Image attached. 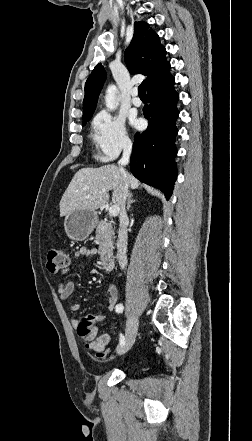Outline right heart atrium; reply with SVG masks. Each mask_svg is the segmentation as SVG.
<instances>
[{"label":"right heart atrium","mask_w":252,"mask_h":441,"mask_svg":"<svg viewBox=\"0 0 252 441\" xmlns=\"http://www.w3.org/2000/svg\"><path fill=\"white\" fill-rule=\"evenodd\" d=\"M92 128L98 160L109 162L121 154L130 152L132 142L123 117L101 111L93 119Z\"/></svg>","instance_id":"d8ad5b80"}]
</instances>
